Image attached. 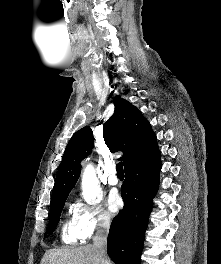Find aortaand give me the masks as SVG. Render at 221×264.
Segmentation results:
<instances>
[{
  "label": "aorta",
  "mask_w": 221,
  "mask_h": 264,
  "mask_svg": "<svg viewBox=\"0 0 221 264\" xmlns=\"http://www.w3.org/2000/svg\"><path fill=\"white\" fill-rule=\"evenodd\" d=\"M82 194L86 201H93L100 195V185L92 164H87L82 175Z\"/></svg>",
  "instance_id": "aorta-1"
}]
</instances>
